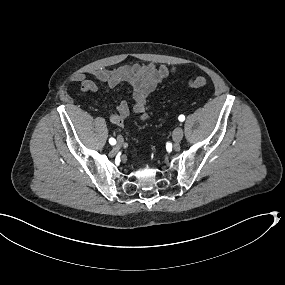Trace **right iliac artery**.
I'll return each instance as SVG.
<instances>
[{
    "mask_svg": "<svg viewBox=\"0 0 285 285\" xmlns=\"http://www.w3.org/2000/svg\"><path fill=\"white\" fill-rule=\"evenodd\" d=\"M109 143H110L111 145H115V144H116V140H115L114 138H110V139H109Z\"/></svg>",
    "mask_w": 285,
    "mask_h": 285,
    "instance_id": "right-iliac-artery-1",
    "label": "right iliac artery"
}]
</instances>
